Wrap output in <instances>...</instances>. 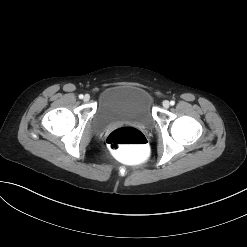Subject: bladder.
<instances>
[{
    "mask_svg": "<svg viewBox=\"0 0 247 247\" xmlns=\"http://www.w3.org/2000/svg\"><path fill=\"white\" fill-rule=\"evenodd\" d=\"M118 122L146 127L153 124L152 97L148 91L134 85H116L100 93L91 120L92 130L101 131Z\"/></svg>",
    "mask_w": 247,
    "mask_h": 247,
    "instance_id": "obj_1",
    "label": "bladder"
}]
</instances>
